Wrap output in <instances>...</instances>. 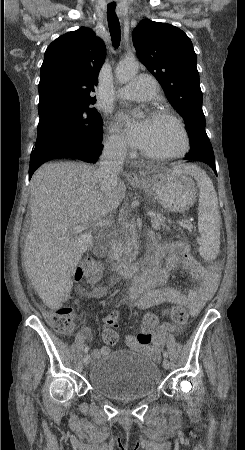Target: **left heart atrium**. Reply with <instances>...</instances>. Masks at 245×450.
<instances>
[{
    "instance_id": "obj_1",
    "label": "left heart atrium",
    "mask_w": 245,
    "mask_h": 450,
    "mask_svg": "<svg viewBox=\"0 0 245 450\" xmlns=\"http://www.w3.org/2000/svg\"><path fill=\"white\" fill-rule=\"evenodd\" d=\"M117 124L122 128L127 141L133 147H142L148 130V121H135L126 112H120L117 117Z\"/></svg>"
}]
</instances>
